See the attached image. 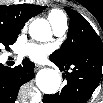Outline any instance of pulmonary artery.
<instances>
[{
  "mask_svg": "<svg viewBox=\"0 0 103 103\" xmlns=\"http://www.w3.org/2000/svg\"><path fill=\"white\" fill-rule=\"evenodd\" d=\"M53 32L56 36H62L66 32L68 26H67V20L63 19L60 22L52 25Z\"/></svg>",
  "mask_w": 103,
  "mask_h": 103,
  "instance_id": "1",
  "label": "pulmonary artery"
}]
</instances>
